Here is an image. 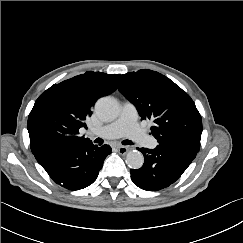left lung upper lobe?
Here are the masks:
<instances>
[{
  "mask_svg": "<svg viewBox=\"0 0 243 243\" xmlns=\"http://www.w3.org/2000/svg\"><path fill=\"white\" fill-rule=\"evenodd\" d=\"M120 92L132 102L142 119L154 122L152 135L159 144L199 141L202 120L191 97L166 76L148 69L121 76Z\"/></svg>",
  "mask_w": 243,
  "mask_h": 243,
  "instance_id": "1",
  "label": "left lung upper lobe"
}]
</instances>
